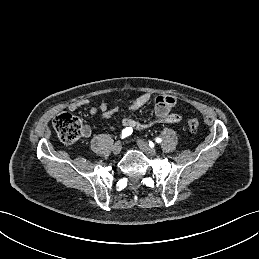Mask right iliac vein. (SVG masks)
<instances>
[{"mask_svg":"<svg viewBox=\"0 0 259 259\" xmlns=\"http://www.w3.org/2000/svg\"><path fill=\"white\" fill-rule=\"evenodd\" d=\"M121 149H122V144L120 141H117L112 147V152L113 154L118 155L121 152Z\"/></svg>","mask_w":259,"mask_h":259,"instance_id":"1","label":"right iliac vein"}]
</instances>
